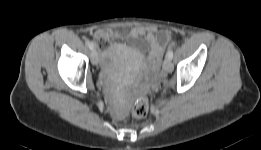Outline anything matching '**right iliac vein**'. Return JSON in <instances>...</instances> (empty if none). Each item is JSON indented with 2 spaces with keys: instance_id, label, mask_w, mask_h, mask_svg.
<instances>
[{
  "instance_id": "1",
  "label": "right iliac vein",
  "mask_w": 261,
  "mask_h": 150,
  "mask_svg": "<svg viewBox=\"0 0 261 150\" xmlns=\"http://www.w3.org/2000/svg\"><path fill=\"white\" fill-rule=\"evenodd\" d=\"M99 56L96 49H93L91 52V62L92 64L96 65L98 63Z\"/></svg>"
}]
</instances>
